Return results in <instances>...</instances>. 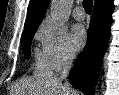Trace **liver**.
Here are the masks:
<instances>
[{
  "instance_id": "1",
  "label": "liver",
  "mask_w": 119,
  "mask_h": 95,
  "mask_svg": "<svg viewBox=\"0 0 119 95\" xmlns=\"http://www.w3.org/2000/svg\"><path fill=\"white\" fill-rule=\"evenodd\" d=\"M19 86L23 95H81L68 83H62L61 78L47 74L28 78Z\"/></svg>"
}]
</instances>
